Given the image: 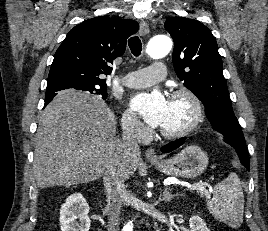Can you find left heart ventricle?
I'll use <instances>...</instances> for the list:
<instances>
[{
	"instance_id": "1",
	"label": "left heart ventricle",
	"mask_w": 268,
	"mask_h": 231,
	"mask_svg": "<svg viewBox=\"0 0 268 231\" xmlns=\"http://www.w3.org/2000/svg\"><path fill=\"white\" fill-rule=\"evenodd\" d=\"M191 103L184 98L169 99L160 128L166 131H177L183 128L192 118Z\"/></svg>"
}]
</instances>
